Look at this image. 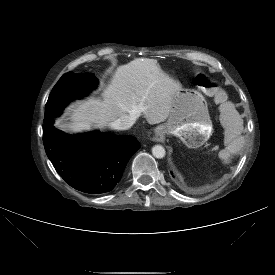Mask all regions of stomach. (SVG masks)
Instances as JSON below:
<instances>
[{"label":"stomach","instance_id":"0dacf381","mask_svg":"<svg viewBox=\"0 0 275 275\" xmlns=\"http://www.w3.org/2000/svg\"><path fill=\"white\" fill-rule=\"evenodd\" d=\"M165 73L173 79V72ZM161 127L166 134L178 136L189 148L202 146L213 129L203 95L194 89L178 88L171 97L167 123Z\"/></svg>","mask_w":275,"mask_h":275}]
</instances>
